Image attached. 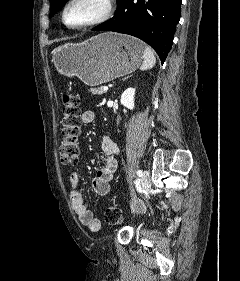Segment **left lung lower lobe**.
<instances>
[{
	"label": "left lung lower lobe",
	"instance_id": "left-lung-lower-lobe-1",
	"mask_svg": "<svg viewBox=\"0 0 240 281\" xmlns=\"http://www.w3.org/2000/svg\"><path fill=\"white\" fill-rule=\"evenodd\" d=\"M182 0H118L113 18L93 31H114L140 38L152 46L164 63L180 20Z\"/></svg>",
	"mask_w": 240,
	"mask_h": 281
}]
</instances>
